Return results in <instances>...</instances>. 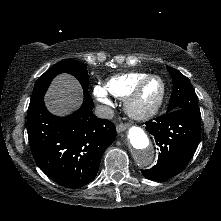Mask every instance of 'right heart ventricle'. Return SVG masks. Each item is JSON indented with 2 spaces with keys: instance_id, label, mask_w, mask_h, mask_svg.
<instances>
[{
  "instance_id": "1",
  "label": "right heart ventricle",
  "mask_w": 221,
  "mask_h": 221,
  "mask_svg": "<svg viewBox=\"0 0 221 221\" xmlns=\"http://www.w3.org/2000/svg\"><path fill=\"white\" fill-rule=\"evenodd\" d=\"M149 74L132 72L116 75L105 83V91L117 98H126L137 83Z\"/></svg>"
}]
</instances>
